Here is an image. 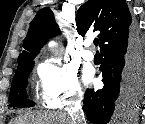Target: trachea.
I'll return each mask as SVG.
<instances>
[{"instance_id":"1","label":"trachea","mask_w":145,"mask_h":124,"mask_svg":"<svg viewBox=\"0 0 145 124\" xmlns=\"http://www.w3.org/2000/svg\"><path fill=\"white\" fill-rule=\"evenodd\" d=\"M98 44H99V40H98V39H95V40H94V45L97 47Z\"/></svg>"}]
</instances>
